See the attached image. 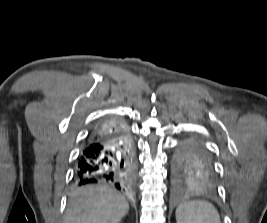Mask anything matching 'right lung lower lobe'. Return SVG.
<instances>
[{"mask_svg":"<svg viewBox=\"0 0 267 223\" xmlns=\"http://www.w3.org/2000/svg\"><path fill=\"white\" fill-rule=\"evenodd\" d=\"M114 130L112 135L85 143L78 157L76 185L105 183L123 192L130 191L135 180L130 134L123 126H115Z\"/></svg>","mask_w":267,"mask_h":223,"instance_id":"98d812e1","label":"right lung lower lobe"}]
</instances>
